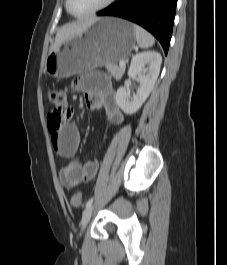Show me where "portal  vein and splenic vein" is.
I'll list each match as a JSON object with an SVG mask.
<instances>
[{"instance_id": "portal-vein-and-splenic-vein-1", "label": "portal vein and splenic vein", "mask_w": 227, "mask_h": 265, "mask_svg": "<svg viewBox=\"0 0 227 265\" xmlns=\"http://www.w3.org/2000/svg\"><path fill=\"white\" fill-rule=\"evenodd\" d=\"M119 66L124 67V66H125V62L120 61V62H119Z\"/></svg>"}]
</instances>
